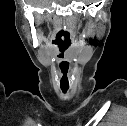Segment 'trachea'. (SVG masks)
<instances>
[{"label": "trachea", "instance_id": "trachea-1", "mask_svg": "<svg viewBox=\"0 0 127 126\" xmlns=\"http://www.w3.org/2000/svg\"><path fill=\"white\" fill-rule=\"evenodd\" d=\"M62 89V92L65 94L68 90V88H61Z\"/></svg>", "mask_w": 127, "mask_h": 126}]
</instances>
